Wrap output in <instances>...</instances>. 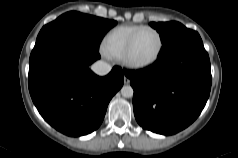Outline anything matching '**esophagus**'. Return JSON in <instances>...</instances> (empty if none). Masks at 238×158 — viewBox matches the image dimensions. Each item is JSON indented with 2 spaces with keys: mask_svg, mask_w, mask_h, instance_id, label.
Returning a JSON list of instances; mask_svg holds the SVG:
<instances>
[{
  "mask_svg": "<svg viewBox=\"0 0 238 158\" xmlns=\"http://www.w3.org/2000/svg\"><path fill=\"white\" fill-rule=\"evenodd\" d=\"M129 83H130V79L124 76V84H129Z\"/></svg>",
  "mask_w": 238,
  "mask_h": 158,
  "instance_id": "esophagus-1",
  "label": "esophagus"
}]
</instances>
